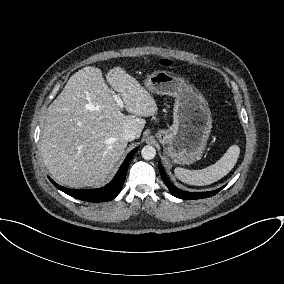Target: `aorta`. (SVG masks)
<instances>
[{
  "label": "aorta",
  "instance_id": "aorta-1",
  "mask_svg": "<svg viewBox=\"0 0 284 284\" xmlns=\"http://www.w3.org/2000/svg\"><path fill=\"white\" fill-rule=\"evenodd\" d=\"M141 155L145 160H151L156 155V149L151 145H146L142 148Z\"/></svg>",
  "mask_w": 284,
  "mask_h": 284
}]
</instances>
